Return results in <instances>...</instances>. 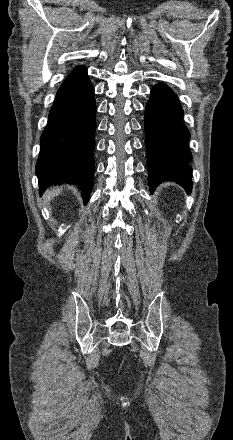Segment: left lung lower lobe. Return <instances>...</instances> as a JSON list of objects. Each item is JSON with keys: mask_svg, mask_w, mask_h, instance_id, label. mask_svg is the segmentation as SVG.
Here are the masks:
<instances>
[{"mask_svg": "<svg viewBox=\"0 0 233 440\" xmlns=\"http://www.w3.org/2000/svg\"><path fill=\"white\" fill-rule=\"evenodd\" d=\"M183 109L175 93L164 84L151 90L145 109V145L149 186L153 190L170 180L192 190L190 133L182 121Z\"/></svg>", "mask_w": 233, "mask_h": 440, "instance_id": "left-lung-lower-lobe-1", "label": "left lung lower lobe"}]
</instances>
